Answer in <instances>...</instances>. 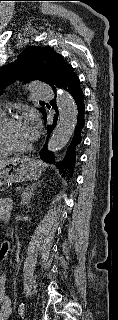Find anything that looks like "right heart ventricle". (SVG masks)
Here are the masks:
<instances>
[{"label":"right heart ventricle","mask_w":118,"mask_h":320,"mask_svg":"<svg viewBox=\"0 0 118 320\" xmlns=\"http://www.w3.org/2000/svg\"><path fill=\"white\" fill-rule=\"evenodd\" d=\"M3 112L0 110V120L3 118ZM9 154V152H7L6 150H4L1 146H0V158L1 157H5Z\"/></svg>","instance_id":"1"}]
</instances>
